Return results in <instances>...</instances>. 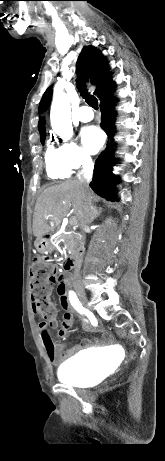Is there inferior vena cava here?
Listing matches in <instances>:
<instances>
[{
  "label": "inferior vena cava",
  "mask_w": 165,
  "mask_h": 461,
  "mask_svg": "<svg viewBox=\"0 0 165 461\" xmlns=\"http://www.w3.org/2000/svg\"><path fill=\"white\" fill-rule=\"evenodd\" d=\"M94 164L89 155L83 158V170L78 174V181L80 182L85 194V213L81 220V226L86 228L92 221L94 216V208L91 203V194L89 190V183L92 179ZM79 276L78 267L74 271V277Z\"/></svg>",
  "instance_id": "obj_1"
}]
</instances>
